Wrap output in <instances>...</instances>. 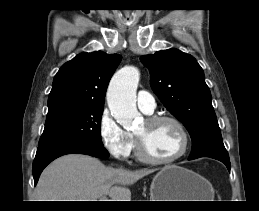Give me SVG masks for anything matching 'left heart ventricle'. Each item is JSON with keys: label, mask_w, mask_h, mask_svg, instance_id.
<instances>
[{"label": "left heart ventricle", "mask_w": 259, "mask_h": 211, "mask_svg": "<svg viewBox=\"0 0 259 211\" xmlns=\"http://www.w3.org/2000/svg\"><path fill=\"white\" fill-rule=\"evenodd\" d=\"M135 134L142 139L147 152L155 158H169L181 148L180 133L170 122L151 125L143 121Z\"/></svg>", "instance_id": "left-heart-ventricle-1"}]
</instances>
